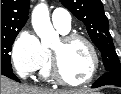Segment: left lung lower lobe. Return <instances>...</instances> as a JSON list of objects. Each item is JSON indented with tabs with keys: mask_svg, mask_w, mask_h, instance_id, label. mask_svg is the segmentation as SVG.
<instances>
[{
	"mask_svg": "<svg viewBox=\"0 0 121 94\" xmlns=\"http://www.w3.org/2000/svg\"><path fill=\"white\" fill-rule=\"evenodd\" d=\"M104 85H115L121 87V71H110L105 73L93 84L92 88Z\"/></svg>",
	"mask_w": 121,
	"mask_h": 94,
	"instance_id": "0a47b994",
	"label": "left lung lower lobe"
}]
</instances>
